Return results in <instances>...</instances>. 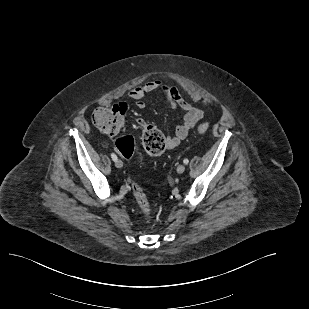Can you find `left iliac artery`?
Masks as SVG:
<instances>
[{"label": "left iliac artery", "instance_id": "obj_1", "mask_svg": "<svg viewBox=\"0 0 309 309\" xmlns=\"http://www.w3.org/2000/svg\"><path fill=\"white\" fill-rule=\"evenodd\" d=\"M183 163H184V164H188V163H189V160H188V159H184V160H183Z\"/></svg>", "mask_w": 309, "mask_h": 309}]
</instances>
